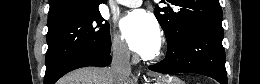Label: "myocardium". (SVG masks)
Masks as SVG:
<instances>
[{
    "mask_svg": "<svg viewBox=\"0 0 260 84\" xmlns=\"http://www.w3.org/2000/svg\"><path fill=\"white\" fill-rule=\"evenodd\" d=\"M163 55H164V51H163V49H160L155 55L148 57L147 60L157 62V61L161 60Z\"/></svg>",
    "mask_w": 260,
    "mask_h": 84,
    "instance_id": "obj_1",
    "label": "myocardium"
}]
</instances>
